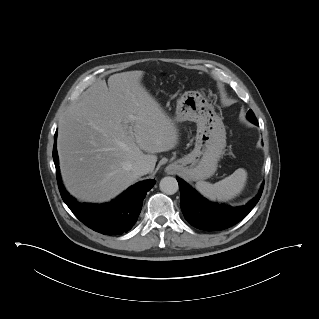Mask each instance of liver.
<instances>
[{"instance_id": "obj_1", "label": "liver", "mask_w": 319, "mask_h": 319, "mask_svg": "<svg viewBox=\"0 0 319 319\" xmlns=\"http://www.w3.org/2000/svg\"><path fill=\"white\" fill-rule=\"evenodd\" d=\"M143 75L128 71L111 75L108 86L95 83L60 121V170L74 197L109 201L139 178L136 162H148L152 172L155 154L177 145L178 129L141 83Z\"/></svg>"}]
</instances>
